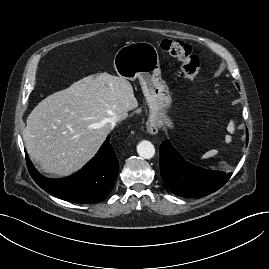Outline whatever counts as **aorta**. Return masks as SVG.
<instances>
[{
  "label": "aorta",
  "instance_id": "762f6f07",
  "mask_svg": "<svg viewBox=\"0 0 269 269\" xmlns=\"http://www.w3.org/2000/svg\"><path fill=\"white\" fill-rule=\"evenodd\" d=\"M137 153L144 159H151L155 155L154 145L148 140H143L137 145Z\"/></svg>",
  "mask_w": 269,
  "mask_h": 269
}]
</instances>
